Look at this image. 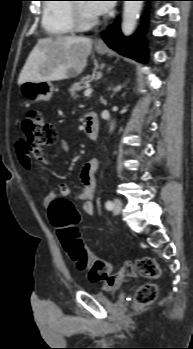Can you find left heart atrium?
<instances>
[{"mask_svg": "<svg viewBox=\"0 0 193 349\" xmlns=\"http://www.w3.org/2000/svg\"><path fill=\"white\" fill-rule=\"evenodd\" d=\"M112 6L111 1H91L87 3V8L93 15L105 14L111 10Z\"/></svg>", "mask_w": 193, "mask_h": 349, "instance_id": "left-heart-atrium-1", "label": "left heart atrium"}]
</instances>
